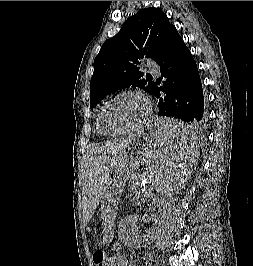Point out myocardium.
I'll return each instance as SVG.
<instances>
[{"mask_svg":"<svg viewBox=\"0 0 253 266\" xmlns=\"http://www.w3.org/2000/svg\"><path fill=\"white\" fill-rule=\"evenodd\" d=\"M127 95L139 97L144 101L145 112H144L143 116L136 123H134L133 125H131L130 127L126 128L124 130L113 132V133L105 132L104 129L102 128V125H101V116H102L104 109L109 104H111L113 101H115L116 99L123 97V96H127ZM151 113H152V103H151L150 99L143 92H141L139 90H123V91L117 93L116 95H114L107 102H105L102 105V107L100 108V110L98 111L97 118H96L97 130H98L100 135L105 136V137H115V136L127 134V133H130V132L138 129L144 123H146V121L149 119Z\"/></svg>","mask_w":253,"mask_h":266,"instance_id":"myocardium-1","label":"myocardium"}]
</instances>
